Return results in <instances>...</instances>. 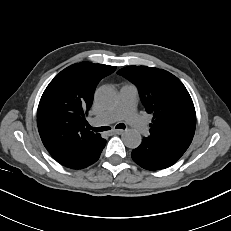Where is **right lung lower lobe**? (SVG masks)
Listing matches in <instances>:
<instances>
[{
  "label": "right lung lower lobe",
  "instance_id": "obj_1",
  "mask_svg": "<svg viewBox=\"0 0 231 231\" xmlns=\"http://www.w3.org/2000/svg\"><path fill=\"white\" fill-rule=\"evenodd\" d=\"M106 140L101 138L96 144L81 152L77 157L66 163H60L71 169H83L96 162L105 147Z\"/></svg>",
  "mask_w": 231,
  "mask_h": 231
}]
</instances>
